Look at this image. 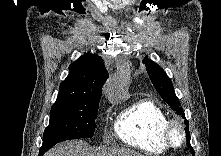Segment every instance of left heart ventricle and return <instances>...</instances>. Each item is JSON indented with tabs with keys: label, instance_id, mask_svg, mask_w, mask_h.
<instances>
[{
	"label": "left heart ventricle",
	"instance_id": "left-heart-ventricle-1",
	"mask_svg": "<svg viewBox=\"0 0 221 156\" xmlns=\"http://www.w3.org/2000/svg\"><path fill=\"white\" fill-rule=\"evenodd\" d=\"M173 140L176 143H179L181 141V132L178 129L174 130L173 132Z\"/></svg>",
	"mask_w": 221,
	"mask_h": 156
}]
</instances>
